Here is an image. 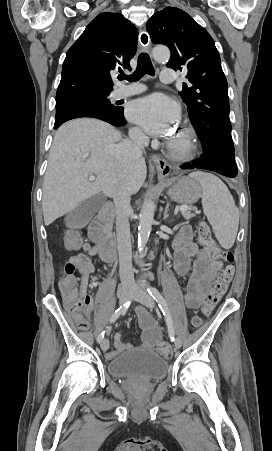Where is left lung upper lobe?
Returning <instances> with one entry per match:
<instances>
[{"instance_id":"obj_1","label":"left lung upper lobe","mask_w":272,"mask_h":451,"mask_svg":"<svg viewBox=\"0 0 272 451\" xmlns=\"http://www.w3.org/2000/svg\"><path fill=\"white\" fill-rule=\"evenodd\" d=\"M154 44L171 51L167 67L187 72L191 83L179 94L186 103L190 121L203 140L205 155H214L236 165L229 119L227 80L219 53L210 34L186 12L166 7L146 24Z\"/></svg>"}]
</instances>
